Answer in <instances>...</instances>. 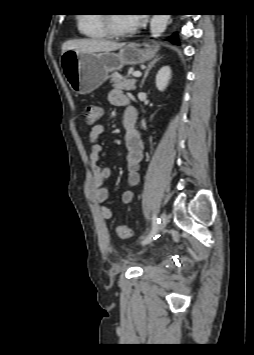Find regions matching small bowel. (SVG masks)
<instances>
[{
    "label": "small bowel",
    "mask_w": 254,
    "mask_h": 355,
    "mask_svg": "<svg viewBox=\"0 0 254 355\" xmlns=\"http://www.w3.org/2000/svg\"><path fill=\"white\" fill-rule=\"evenodd\" d=\"M109 102L114 106L125 107L123 116V124L127 120H137V109L130 105L127 96L120 89H113L108 96ZM126 129L125 145L127 149L126 166L128 170V186L129 189L122 193L121 199L125 204H129L133 200L132 188L138 185L140 181L139 169L140 163L143 159L144 153V140L141 134L135 129ZM105 129L102 125H95L92 127L88 134V140L90 143V170L92 174L91 178V191L95 202L100 207L101 217L105 220L112 218V211L109 207L105 206V202L108 198V191L104 187V182L111 176L112 170L107 166H100L98 164L100 154L102 152V145L99 142V137L104 134Z\"/></svg>",
    "instance_id": "small-bowel-1"
}]
</instances>
